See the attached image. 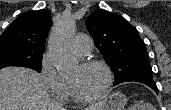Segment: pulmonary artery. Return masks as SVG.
I'll use <instances>...</instances> for the list:
<instances>
[{"mask_svg":"<svg viewBox=\"0 0 171 110\" xmlns=\"http://www.w3.org/2000/svg\"><path fill=\"white\" fill-rule=\"evenodd\" d=\"M92 46V40L85 35H77L73 40V49L78 57H83L89 54Z\"/></svg>","mask_w":171,"mask_h":110,"instance_id":"e3ab8cb5","label":"pulmonary artery"}]
</instances>
